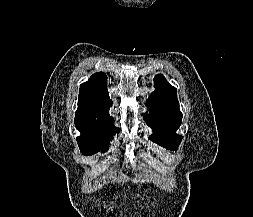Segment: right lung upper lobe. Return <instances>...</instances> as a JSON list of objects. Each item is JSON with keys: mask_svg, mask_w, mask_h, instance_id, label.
Masks as SVG:
<instances>
[{"mask_svg": "<svg viewBox=\"0 0 253 217\" xmlns=\"http://www.w3.org/2000/svg\"><path fill=\"white\" fill-rule=\"evenodd\" d=\"M107 76L103 72L91 76L80 85L76 120L93 122H113L109 115L112 101L106 89Z\"/></svg>", "mask_w": 253, "mask_h": 217, "instance_id": "cb5924a9", "label": "right lung upper lobe"}]
</instances>
